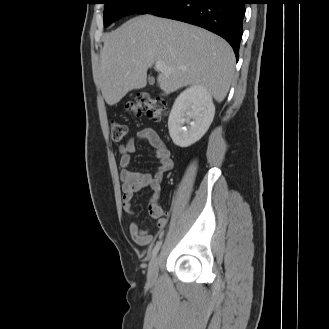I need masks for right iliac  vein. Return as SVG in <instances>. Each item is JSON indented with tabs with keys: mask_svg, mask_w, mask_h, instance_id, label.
I'll return each instance as SVG.
<instances>
[{
	"mask_svg": "<svg viewBox=\"0 0 329 329\" xmlns=\"http://www.w3.org/2000/svg\"><path fill=\"white\" fill-rule=\"evenodd\" d=\"M158 265H159V258L154 257L149 264L148 273H147V280L149 284H154L157 280Z\"/></svg>",
	"mask_w": 329,
	"mask_h": 329,
	"instance_id": "1",
	"label": "right iliac vein"
}]
</instances>
